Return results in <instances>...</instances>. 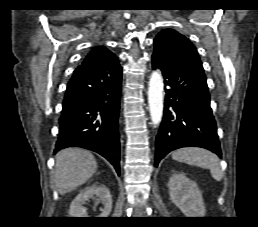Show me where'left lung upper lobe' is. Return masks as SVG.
<instances>
[{
	"instance_id": "left-lung-upper-lobe-1",
	"label": "left lung upper lobe",
	"mask_w": 258,
	"mask_h": 227,
	"mask_svg": "<svg viewBox=\"0 0 258 227\" xmlns=\"http://www.w3.org/2000/svg\"><path fill=\"white\" fill-rule=\"evenodd\" d=\"M155 48L162 49L169 55L204 73L195 46L177 31L171 29L162 30L154 39Z\"/></svg>"
}]
</instances>
